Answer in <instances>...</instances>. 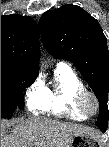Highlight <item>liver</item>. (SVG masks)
Instances as JSON below:
<instances>
[{"instance_id":"6515ba94","label":"liver","mask_w":109,"mask_h":147,"mask_svg":"<svg viewBox=\"0 0 109 147\" xmlns=\"http://www.w3.org/2000/svg\"><path fill=\"white\" fill-rule=\"evenodd\" d=\"M8 122L1 124V147H70L76 135L100 138L101 132L87 126L31 117L5 133Z\"/></svg>"}]
</instances>
